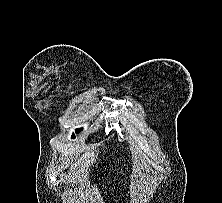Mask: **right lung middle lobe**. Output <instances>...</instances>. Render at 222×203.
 Instances as JSON below:
<instances>
[{"label": "right lung middle lobe", "mask_w": 222, "mask_h": 203, "mask_svg": "<svg viewBox=\"0 0 222 203\" xmlns=\"http://www.w3.org/2000/svg\"><path fill=\"white\" fill-rule=\"evenodd\" d=\"M79 130H81V129H76V132L78 133ZM72 138H75V135H74V134L72 135Z\"/></svg>", "instance_id": "right-lung-middle-lobe-1"}]
</instances>
